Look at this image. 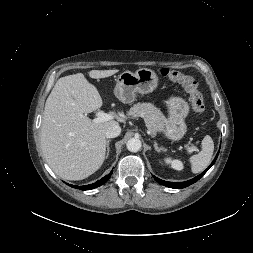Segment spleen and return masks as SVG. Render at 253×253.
Returning <instances> with one entry per match:
<instances>
[{"mask_svg": "<svg viewBox=\"0 0 253 253\" xmlns=\"http://www.w3.org/2000/svg\"><path fill=\"white\" fill-rule=\"evenodd\" d=\"M202 150L190 157L191 171L193 173H199L203 171L210 163L213 151L214 143L212 138L207 135L202 140Z\"/></svg>", "mask_w": 253, "mask_h": 253, "instance_id": "spleen-1", "label": "spleen"}]
</instances>
